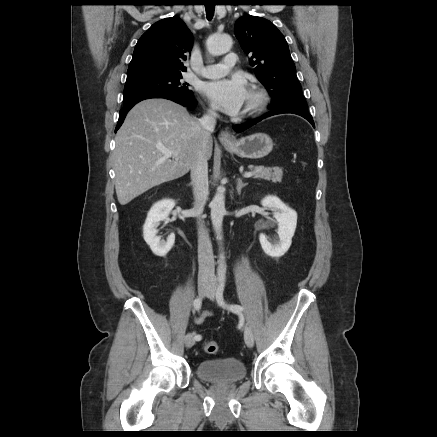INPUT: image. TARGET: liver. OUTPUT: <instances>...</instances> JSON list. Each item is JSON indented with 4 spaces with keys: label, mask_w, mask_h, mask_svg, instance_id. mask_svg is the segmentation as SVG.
Masks as SVG:
<instances>
[{
    "label": "liver",
    "mask_w": 437,
    "mask_h": 437,
    "mask_svg": "<svg viewBox=\"0 0 437 437\" xmlns=\"http://www.w3.org/2000/svg\"><path fill=\"white\" fill-rule=\"evenodd\" d=\"M201 138L199 120L183 106L166 99L136 104L115 137L112 160L118 202L126 205L149 189L187 174L197 160ZM160 148L177 157H166ZM212 148L210 137L207 159Z\"/></svg>",
    "instance_id": "liver-1"
}]
</instances>
